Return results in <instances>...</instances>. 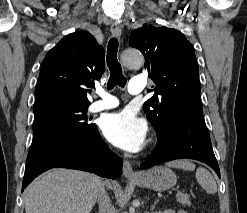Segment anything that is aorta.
I'll return each instance as SVG.
<instances>
[{"label": "aorta", "mask_w": 247, "mask_h": 213, "mask_svg": "<svg viewBox=\"0 0 247 213\" xmlns=\"http://www.w3.org/2000/svg\"><path fill=\"white\" fill-rule=\"evenodd\" d=\"M122 61L126 67L139 68L144 64V57L138 50L126 49L122 53Z\"/></svg>", "instance_id": "1"}]
</instances>
